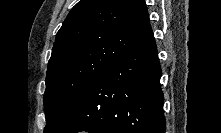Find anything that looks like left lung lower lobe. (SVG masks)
I'll return each instance as SVG.
<instances>
[{"instance_id": "1", "label": "left lung lower lobe", "mask_w": 221, "mask_h": 133, "mask_svg": "<svg viewBox=\"0 0 221 133\" xmlns=\"http://www.w3.org/2000/svg\"><path fill=\"white\" fill-rule=\"evenodd\" d=\"M160 78L151 30L99 74L56 133H165Z\"/></svg>"}]
</instances>
